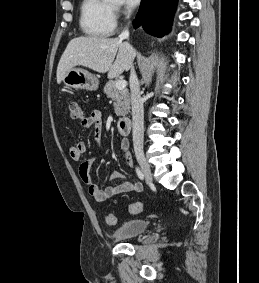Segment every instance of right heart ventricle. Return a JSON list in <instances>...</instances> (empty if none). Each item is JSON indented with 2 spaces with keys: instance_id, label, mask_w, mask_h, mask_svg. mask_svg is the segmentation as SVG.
<instances>
[{
  "instance_id": "1",
  "label": "right heart ventricle",
  "mask_w": 259,
  "mask_h": 283,
  "mask_svg": "<svg viewBox=\"0 0 259 283\" xmlns=\"http://www.w3.org/2000/svg\"><path fill=\"white\" fill-rule=\"evenodd\" d=\"M80 26L83 32L90 37H109L116 28L112 5L107 0H83Z\"/></svg>"
}]
</instances>
